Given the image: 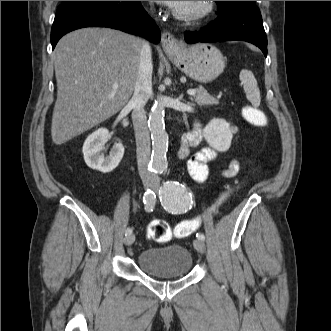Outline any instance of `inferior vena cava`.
<instances>
[{
	"label": "inferior vena cava",
	"instance_id": "obj_1",
	"mask_svg": "<svg viewBox=\"0 0 331 331\" xmlns=\"http://www.w3.org/2000/svg\"><path fill=\"white\" fill-rule=\"evenodd\" d=\"M152 70L151 47L148 42L144 41L140 52V64L134 86V94L130 100L133 106L132 121L135 131L137 165L140 175H151L148 169L151 155L150 133L144 106L152 94Z\"/></svg>",
	"mask_w": 331,
	"mask_h": 331
}]
</instances>
